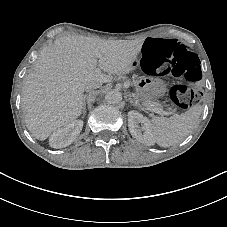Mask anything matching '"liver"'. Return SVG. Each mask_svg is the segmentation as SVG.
<instances>
[{"mask_svg":"<svg viewBox=\"0 0 227 227\" xmlns=\"http://www.w3.org/2000/svg\"><path fill=\"white\" fill-rule=\"evenodd\" d=\"M144 40L71 35L44 47L35 72L29 73L23 82L22 106L28 130L43 141L57 128L78 118L86 85L110 83L111 74L132 71L131 63Z\"/></svg>","mask_w":227,"mask_h":227,"instance_id":"liver-1","label":"liver"}]
</instances>
